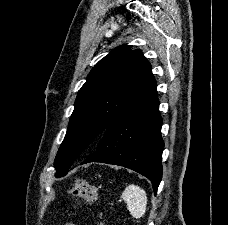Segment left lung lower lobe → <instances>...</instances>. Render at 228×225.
Returning a JSON list of instances; mask_svg holds the SVG:
<instances>
[{"label":"left lung lower lobe","mask_w":228,"mask_h":225,"mask_svg":"<svg viewBox=\"0 0 228 225\" xmlns=\"http://www.w3.org/2000/svg\"><path fill=\"white\" fill-rule=\"evenodd\" d=\"M156 85L103 133L96 151L81 164L119 165L147 177L156 194L162 178L164 142Z\"/></svg>","instance_id":"0a47b994"}]
</instances>
